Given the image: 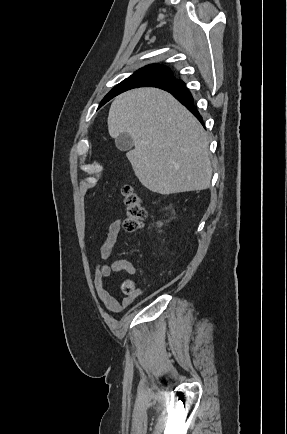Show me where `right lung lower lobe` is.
Segmentation results:
<instances>
[{
  "instance_id": "obj_1",
  "label": "right lung lower lobe",
  "mask_w": 287,
  "mask_h": 434,
  "mask_svg": "<svg viewBox=\"0 0 287 434\" xmlns=\"http://www.w3.org/2000/svg\"><path fill=\"white\" fill-rule=\"evenodd\" d=\"M170 92L177 100H179L193 115L203 124L202 116L199 114L193 103V97L189 90L185 87L184 82L175 81L164 87H159Z\"/></svg>"
}]
</instances>
